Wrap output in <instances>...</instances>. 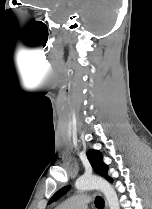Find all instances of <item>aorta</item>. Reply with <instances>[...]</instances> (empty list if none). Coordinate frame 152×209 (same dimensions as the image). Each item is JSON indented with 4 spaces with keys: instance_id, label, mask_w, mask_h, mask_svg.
<instances>
[{
    "instance_id": "obj_1",
    "label": "aorta",
    "mask_w": 152,
    "mask_h": 209,
    "mask_svg": "<svg viewBox=\"0 0 152 209\" xmlns=\"http://www.w3.org/2000/svg\"><path fill=\"white\" fill-rule=\"evenodd\" d=\"M79 191L100 190L103 192L110 209H119L118 196L109 182L97 176H82L75 182Z\"/></svg>"
}]
</instances>
